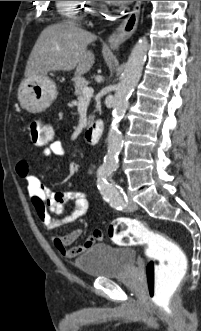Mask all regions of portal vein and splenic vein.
I'll use <instances>...</instances> for the list:
<instances>
[{"label": "portal vein and splenic vein", "instance_id": "obj_1", "mask_svg": "<svg viewBox=\"0 0 201 331\" xmlns=\"http://www.w3.org/2000/svg\"><path fill=\"white\" fill-rule=\"evenodd\" d=\"M82 98H91L93 96V93H94V90L93 88L91 87H84L83 90H82Z\"/></svg>", "mask_w": 201, "mask_h": 331}]
</instances>
